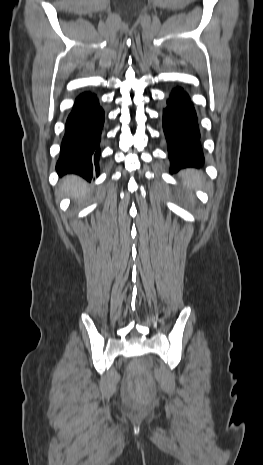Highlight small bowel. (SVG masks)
Segmentation results:
<instances>
[{"label": "small bowel", "mask_w": 263, "mask_h": 465, "mask_svg": "<svg viewBox=\"0 0 263 465\" xmlns=\"http://www.w3.org/2000/svg\"><path fill=\"white\" fill-rule=\"evenodd\" d=\"M137 376H138V375H137ZM135 377H136V376H135ZM130 385H131V382H130V381H128V382L126 383V388H129V387H130Z\"/></svg>", "instance_id": "1"}]
</instances>
